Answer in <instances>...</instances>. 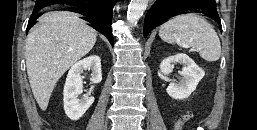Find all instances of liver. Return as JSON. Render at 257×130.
<instances>
[{
  "label": "liver",
  "mask_w": 257,
  "mask_h": 130,
  "mask_svg": "<svg viewBox=\"0 0 257 130\" xmlns=\"http://www.w3.org/2000/svg\"><path fill=\"white\" fill-rule=\"evenodd\" d=\"M26 39V67L33 95L46 110L57 81L94 46L97 33L79 16L48 12Z\"/></svg>",
  "instance_id": "obj_1"
}]
</instances>
